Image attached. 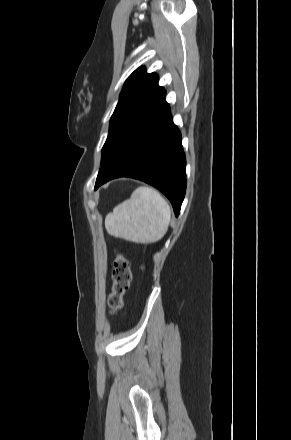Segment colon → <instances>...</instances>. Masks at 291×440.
Wrapping results in <instances>:
<instances>
[{
    "label": "colon",
    "mask_w": 291,
    "mask_h": 440,
    "mask_svg": "<svg viewBox=\"0 0 291 440\" xmlns=\"http://www.w3.org/2000/svg\"><path fill=\"white\" fill-rule=\"evenodd\" d=\"M130 282V265L122 254L117 253L114 259L113 288L108 297L111 309L116 310L122 305V296Z\"/></svg>",
    "instance_id": "obj_1"
}]
</instances>
